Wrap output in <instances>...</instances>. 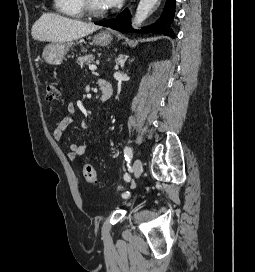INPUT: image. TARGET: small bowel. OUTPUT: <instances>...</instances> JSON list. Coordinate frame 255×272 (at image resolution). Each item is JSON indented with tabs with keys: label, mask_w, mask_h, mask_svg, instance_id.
<instances>
[{
	"label": "small bowel",
	"mask_w": 255,
	"mask_h": 272,
	"mask_svg": "<svg viewBox=\"0 0 255 272\" xmlns=\"http://www.w3.org/2000/svg\"><path fill=\"white\" fill-rule=\"evenodd\" d=\"M76 115V107L74 104H68L66 115L59 121L57 127L52 132V137L55 141H61L62 135L66 128L72 124ZM88 149L86 144L71 143L68 146L67 157L69 160L74 161L82 156Z\"/></svg>",
	"instance_id": "small-bowel-1"
}]
</instances>
